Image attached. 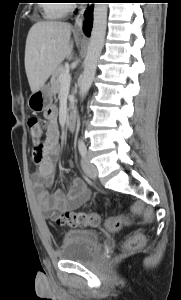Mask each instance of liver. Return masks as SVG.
Returning a JSON list of instances; mask_svg holds the SVG:
<instances>
[{"instance_id":"liver-1","label":"liver","mask_w":181,"mask_h":300,"mask_svg":"<svg viewBox=\"0 0 181 300\" xmlns=\"http://www.w3.org/2000/svg\"><path fill=\"white\" fill-rule=\"evenodd\" d=\"M71 25L40 21L29 30L25 47V71L33 92L45 85L58 65L72 55Z\"/></svg>"}]
</instances>
